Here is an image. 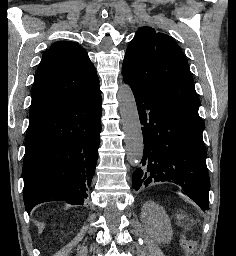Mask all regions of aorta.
I'll return each instance as SVG.
<instances>
[{"instance_id": "1", "label": "aorta", "mask_w": 236, "mask_h": 256, "mask_svg": "<svg viewBox=\"0 0 236 256\" xmlns=\"http://www.w3.org/2000/svg\"><path fill=\"white\" fill-rule=\"evenodd\" d=\"M117 98L125 133L126 159L132 166H138L143 156L144 143L136 101L131 88L121 85Z\"/></svg>"}]
</instances>
